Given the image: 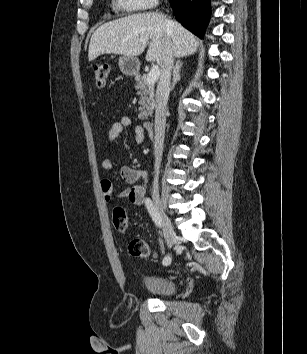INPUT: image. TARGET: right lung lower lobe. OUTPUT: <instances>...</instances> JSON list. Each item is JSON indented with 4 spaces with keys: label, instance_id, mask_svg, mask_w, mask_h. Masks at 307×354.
<instances>
[{
    "label": "right lung lower lobe",
    "instance_id": "98d812e1",
    "mask_svg": "<svg viewBox=\"0 0 307 354\" xmlns=\"http://www.w3.org/2000/svg\"><path fill=\"white\" fill-rule=\"evenodd\" d=\"M176 19L200 38L210 19V0H169Z\"/></svg>",
    "mask_w": 307,
    "mask_h": 354
}]
</instances>
